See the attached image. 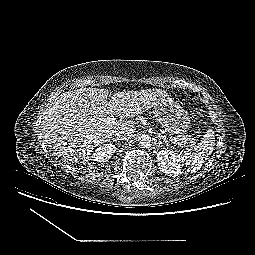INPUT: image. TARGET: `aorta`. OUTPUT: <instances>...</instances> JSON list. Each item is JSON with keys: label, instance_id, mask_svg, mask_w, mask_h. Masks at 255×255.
<instances>
[{"label": "aorta", "instance_id": "1", "mask_svg": "<svg viewBox=\"0 0 255 255\" xmlns=\"http://www.w3.org/2000/svg\"><path fill=\"white\" fill-rule=\"evenodd\" d=\"M139 144L140 146L144 147V148H149L152 146L153 143V138L151 136H149L148 134H142L139 137Z\"/></svg>", "mask_w": 255, "mask_h": 255}]
</instances>
